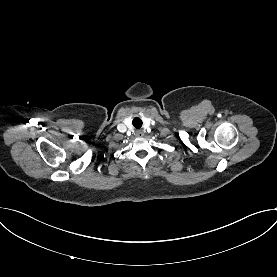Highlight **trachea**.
I'll list each match as a JSON object with an SVG mask.
<instances>
[{
	"mask_svg": "<svg viewBox=\"0 0 277 277\" xmlns=\"http://www.w3.org/2000/svg\"><path fill=\"white\" fill-rule=\"evenodd\" d=\"M132 123L136 129H140L142 127V120L139 117H135Z\"/></svg>",
	"mask_w": 277,
	"mask_h": 277,
	"instance_id": "trachea-1",
	"label": "trachea"
}]
</instances>
